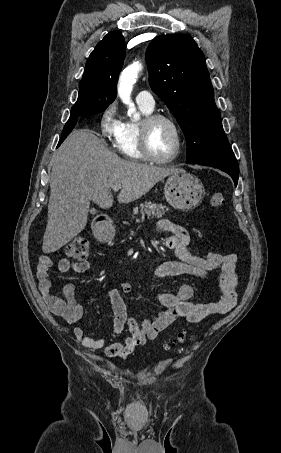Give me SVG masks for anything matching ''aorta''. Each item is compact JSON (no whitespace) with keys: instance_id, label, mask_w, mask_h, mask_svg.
<instances>
[{"instance_id":"762f6f07","label":"aorta","mask_w":281,"mask_h":453,"mask_svg":"<svg viewBox=\"0 0 281 453\" xmlns=\"http://www.w3.org/2000/svg\"><path fill=\"white\" fill-rule=\"evenodd\" d=\"M143 66L139 61L133 62L127 68H125L118 82V95L122 102L128 106V112L133 114L135 119L139 118V113L136 112L135 105L131 101V92L136 82L139 72Z\"/></svg>"}]
</instances>
